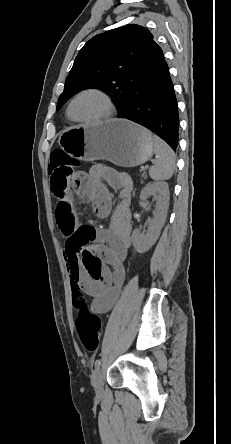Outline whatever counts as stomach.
<instances>
[{"label": "stomach", "instance_id": "1", "mask_svg": "<svg viewBox=\"0 0 231 444\" xmlns=\"http://www.w3.org/2000/svg\"><path fill=\"white\" fill-rule=\"evenodd\" d=\"M61 148L83 161L108 160L121 167L145 163L154 153L152 134L125 119L77 125L61 132Z\"/></svg>", "mask_w": 231, "mask_h": 444}]
</instances>
